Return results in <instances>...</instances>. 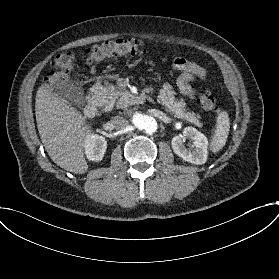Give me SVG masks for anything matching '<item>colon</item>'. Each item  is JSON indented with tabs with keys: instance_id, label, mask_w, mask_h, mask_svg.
<instances>
[{
	"instance_id": "1",
	"label": "colon",
	"mask_w": 279,
	"mask_h": 279,
	"mask_svg": "<svg viewBox=\"0 0 279 279\" xmlns=\"http://www.w3.org/2000/svg\"><path fill=\"white\" fill-rule=\"evenodd\" d=\"M144 44L140 40H114L98 44L87 51V61L95 63L115 56L143 55ZM75 60L70 51L58 52L51 62L56 75L52 77L49 85L52 86L66 78L74 68ZM199 103L203 110L218 113L221 108L215 97L208 90L199 92Z\"/></svg>"
}]
</instances>
